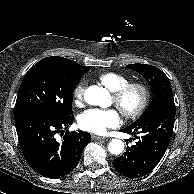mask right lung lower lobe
<instances>
[{
	"label": "right lung lower lobe",
	"mask_w": 194,
	"mask_h": 194,
	"mask_svg": "<svg viewBox=\"0 0 194 194\" xmlns=\"http://www.w3.org/2000/svg\"><path fill=\"white\" fill-rule=\"evenodd\" d=\"M19 145L31 168L48 178L67 175L79 163L89 133L66 132L62 142L54 135L73 123V117H55L45 112L28 111L14 115Z\"/></svg>",
	"instance_id": "1"
}]
</instances>
